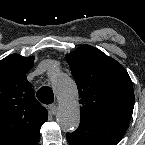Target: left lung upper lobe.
<instances>
[{
  "label": "left lung upper lobe",
  "instance_id": "obj_1",
  "mask_svg": "<svg viewBox=\"0 0 145 145\" xmlns=\"http://www.w3.org/2000/svg\"><path fill=\"white\" fill-rule=\"evenodd\" d=\"M79 91L81 121L130 122L134 91L125 68L89 45L66 55Z\"/></svg>",
  "mask_w": 145,
  "mask_h": 145
}]
</instances>
